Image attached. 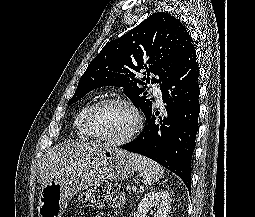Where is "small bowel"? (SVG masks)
<instances>
[{
  "mask_svg": "<svg viewBox=\"0 0 255 217\" xmlns=\"http://www.w3.org/2000/svg\"><path fill=\"white\" fill-rule=\"evenodd\" d=\"M93 217H101V216H93Z\"/></svg>",
  "mask_w": 255,
  "mask_h": 217,
  "instance_id": "obj_1",
  "label": "small bowel"
}]
</instances>
